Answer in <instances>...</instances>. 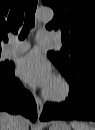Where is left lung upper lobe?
<instances>
[{
	"instance_id": "1",
	"label": "left lung upper lobe",
	"mask_w": 95,
	"mask_h": 130,
	"mask_svg": "<svg viewBox=\"0 0 95 130\" xmlns=\"http://www.w3.org/2000/svg\"><path fill=\"white\" fill-rule=\"evenodd\" d=\"M54 10L48 30L61 32L63 46L47 56L63 71L95 65V0H42Z\"/></svg>"
}]
</instances>
